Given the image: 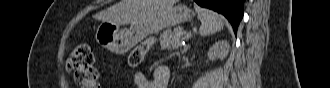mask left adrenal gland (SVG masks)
<instances>
[{"label": "left adrenal gland", "mask_w": 330, "mask_h": 88, "mask_svg": "<svg viewBox=\"0 0 330 88\" xmlns=\"http://www.w3.org/2000/svg\"><path fill=\"white\" fill-rule=\"evenodd\" d=\"M189 47H190V45H189V46H186V47L184 48V50L182 51V53L187 52V50H188Z\"/></svg>", "instance_id": "a2214340"}]
</instances>
